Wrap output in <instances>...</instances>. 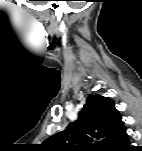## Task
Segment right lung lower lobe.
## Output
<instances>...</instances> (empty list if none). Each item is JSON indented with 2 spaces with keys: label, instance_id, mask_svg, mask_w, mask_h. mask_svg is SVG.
<instances>
[{
  "label": "right lung lower lobe",
  "instance_id": "right-lung-lower-lobe-1",
  "mask_svg": "<svg viewBox=\"0 0 142 151\" xmlns=\"http://www.w3.org/2000/svg\"><path fill=\"white\" fill-rule=\"evenodd\" d=\"M132 150V147L129 145V141L118 147L115 151H128Z\"/></svg>",
  "mask_w": 142,
  "mask_h": 151
}]
</instances>
